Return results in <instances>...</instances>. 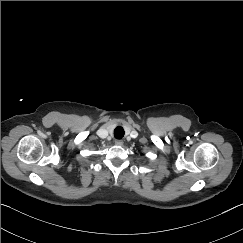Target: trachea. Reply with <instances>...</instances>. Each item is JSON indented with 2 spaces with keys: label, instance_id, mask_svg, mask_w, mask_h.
I'll list each match as a JSON object with an SVG mask.
<instances>
[{
  "label": "trachea",
  "instance_id": "3493384b",
  "mask_svg": "<svg viewBox=\"0 0 243 243\" xmlns=\"http://www.w3.org/2000/svg\"><path fill=\"white\" fill-rule=\"evenodd\" d=\"M124 136V129L121 126H118L114 130V137L116 139H121Z\"/></svg>",
  "mask_w": 243,
  "mask_h": 243
}]
</instances>
